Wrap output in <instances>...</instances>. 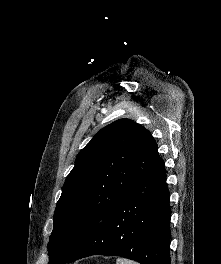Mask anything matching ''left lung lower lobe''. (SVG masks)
I'll use <instances>...</instances> for the list:
<instances>
[{
	"instance_id": "1",
	"label": "left lung lower lobe",
	"mask_w": 221,
	"mask_h": 264,
	"mask_svg": "<svg viewBox=\"0 0 221 264\" xmlns=\"http://www.w3.org/2000/svg\"><path fill=\"white\" fill-rule=\"evenodd\" d=\"M169 190L164 161L139 181L69 255L54 264L92 255L141 264H170Z\"/></svg>"
}]
</instances>
